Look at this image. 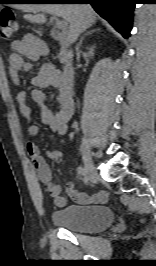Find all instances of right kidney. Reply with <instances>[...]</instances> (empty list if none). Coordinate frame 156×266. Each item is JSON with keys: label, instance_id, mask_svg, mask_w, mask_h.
Segmentation results:
<instances>
[{"label": "right kidney", "instance_id": "1", "mask_svg": "<svg viewBox=\"0 0 156 266\" xmlns=\"http://www.w3.org/2000/svg\"><path fill=\"white\" fill-rule=\"evenodd\" d=\"M94 48H95V46H92V47L89 48L88 55L90 57H93L94 56Z\"/></svg>", "mask_w": 156, "mask_h": 266}]
</instances>
